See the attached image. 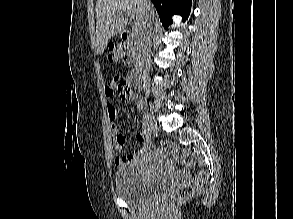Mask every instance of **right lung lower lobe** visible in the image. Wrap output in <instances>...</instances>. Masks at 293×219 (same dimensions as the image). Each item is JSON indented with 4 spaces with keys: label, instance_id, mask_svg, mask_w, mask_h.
Masks as SVG:
<instances>
[{
    "label": "right lung lower lobe",
    "instance_id": "1",
    "mask_svg": "<svg viewBox=\"0 0 293 219\" xmlns=\"http://www.w3.org/2000/svg\"><path fill=\"white\" fill-rule=\"evenodd\" d=\"M159 14L160 20L165 28L171 24V16L180 14L185 21L191 8V0H151Z\"/></svg>",
    "mask_w": 293,
    "mask_h": 219
}]
</instances>
